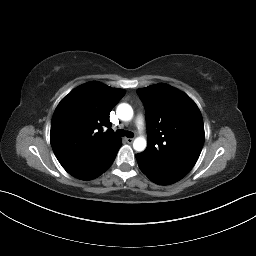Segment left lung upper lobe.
<instances>
[{
  "label": "left lung upper lobe",
  "mask_w": 256,
  "mask_h": 256,
  "mask_svg": "<svg viewBox=\"0 0 256 256\" xmlns=\"http://www.w3.org/2000/svg\"><path fill=\"white\" fill-rule=\"evenodd\" d=\"M137 93L146 108L148 146L143 156L154 167L184 177L197 162L205 139L197 105L167 84Z\"/></svg>",
  "instance_id": "5c2ea615"
}]
</instances>
